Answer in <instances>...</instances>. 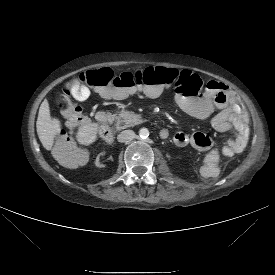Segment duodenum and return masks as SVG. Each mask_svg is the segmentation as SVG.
<instances>
[{"label":"duodenum","instance_id":"410a0bca","mask_svg":"<svg viewBox=\"0 0 275 275\" xmlns=\"http://www.w3.org/2000/svg\"><path fill=\"white\" fill-rule=\"evenodd\" d=\"M97 119L100 123H102L103 128H102V134L104 139L107 142H111L113 140V121H112V116H109L107 113L104 112H99L97 114ZM160 135L164 138L167 137L168 131L167 130H161Z\"/></svg>","mask_w":275,"mask_h":275}]
</instances>
